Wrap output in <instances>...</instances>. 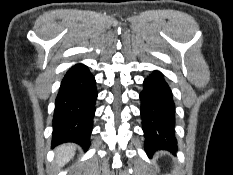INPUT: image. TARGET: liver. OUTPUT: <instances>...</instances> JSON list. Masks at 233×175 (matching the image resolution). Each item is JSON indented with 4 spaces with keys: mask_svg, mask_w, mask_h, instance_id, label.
I'll list each match as a JSON object with an SVG mask.
<instances>
[{
    "mask_svg": "<svg viewBox=\"0 0 233 175\" xmlns=\"http://www.w3.org/2000/svg\"><path fill=\"white\" fill-rule=\"evenodd\" d=\"M76 146L73 144H64L56 149L57 164L59 167L64 166L74 156Z\"/></svg>",
    "mask_w": 233,
    "mask_h": 175,
    "instance_id": "6515ba94",
    "label": "liver"
}]
</instances>
